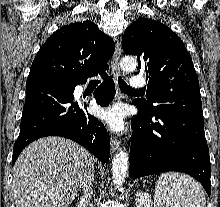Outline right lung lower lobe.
Here are the masks:
<instances>
[{
    "label": "right lung lower lobe",
    "instance_id": "98d812e1",
    "mask_svg": "<svg viewBox=\"0 0 220 207\" xmlns=\"http://www.w3.org/2000/svg\"><path fill=\"white\" fill-rule=\"evenodd\" d=\"M101 75L104 82L95 98L98 104L107 106L115 95V85L105 72ZM85 82L49 76L27 79L21 130L13 147L12 165L28 144L45 136L71 139L102 162H108L110 139L103 123L84 110L88 103L78 104L74 101L75 86Z\"/></svg>",
    "mask_w": 220,
    "mask_h": 207
}]
</instances>
